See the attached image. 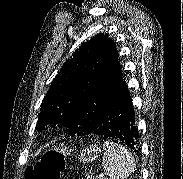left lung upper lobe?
Listing matches in <instances>:
<instances>
[{
	"instance_id": "5c2ea615",
	"label": "left lung upper lobe",
	"mask_w": 183,
	"mask_h": 179,
	"mask_svg": "<svg viewBox=\"0 0 183 179\" xmlns=\"http://www.w3.org/2000/svg\"><path fill=\"white\" fill-rule=\"evenodd\" d=\"M121 80L115 43L100 33L83 43L53 79L38 127L60 124L71 135L91 134L113 106Z\"/></svg>"
}]
</instances>
